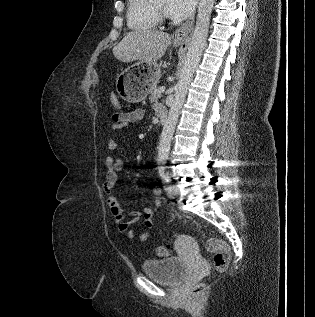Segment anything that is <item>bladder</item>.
<instances>
[{"label": "bladder", "mask_w": 315, "mask_h": 317, "mask_svg": "<svg viewBox=\"0 0 315 317\" xmlns=\"http://www.w3.org/2000/svg\"><path fill=\"white\" fill-rule=\"evenodd\" d=\"M143 272L159 283L176 286L180 284L187 275V265L179 257L164 259H148L142 264Z\"/></svg>", "instance_id": "1"}]
</instances>
